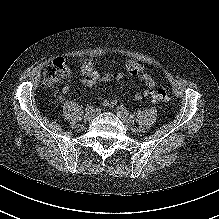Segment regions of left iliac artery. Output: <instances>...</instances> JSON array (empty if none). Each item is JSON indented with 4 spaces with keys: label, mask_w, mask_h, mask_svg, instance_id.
Returning <instances> with one entry per match:
<instances>
[{
    "label": "left iliac artery",
    "mask_w": 219,
    "mask_h": 219,
    "mask_svg": "<svg viewBox=\"0 0 219 219\" xmlns=\"http://www.w3.org/2000/svg\"><path fill=\"white\" fill-rule=\"evenodd\" d=\"M119 108H120V110H121L124 114H126V115H128V116H130V117L132 118V115L129 114V112H128L123 106H119Z\"/></svg>",
    "instance_id": "left-iliac-artery-1"
}]
</instances>
